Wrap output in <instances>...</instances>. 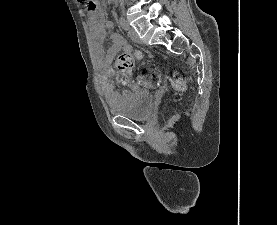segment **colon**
<instances>
[{"mask_svg":"<svg viewBox=\"0 0 277 225\" xmlns=\"http://www.w3.org/2000/svg\"><path fill=\"white\" fill-rule=\"evenodd\" d=\"M84 6L87 10H92L93 6L89 0H82ZM142 58V53L140 51H136L135 53H122L120 54L115 61V71L117 81L125 85L129 82L131 76V70L134 66L136 60ZM163 80V74L161 72H150L146 76L141 79L143 84L154 88L159 85V83ZM175 86L179 89H186L185 82L177 78L175 80Z\"/></svg>","mask_w":277,"mask_h":225,"instance_id":"obj_1","label":"colon"}]
</instances>
